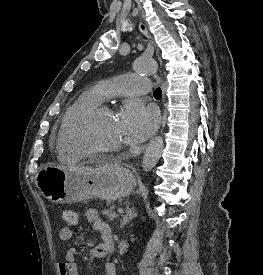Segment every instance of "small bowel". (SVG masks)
<instances>
[{
  "mask_svg": "<svg viewBox=\"0 0 263 275\" xmlns=\"http://www.w3.org/2000/svg\"><path fill=\"white\" fill-rule=\"evenodd\" d=\"M85 218L92 224L93 229L97 231L102 238V242L92 250V258L102 259L110 256L113 253V236L110 226L100 218L98 211L93 208L86 210ZM73 227L74 226L67 225L61 228L59 237L62 241H68L73 237ZM77 255V247L68 249L64 259L59 263L62 275H78ZM104 275H117V269L114 263H105Z\"/></svg>",
  "mask_w": 263,
  "mask_h": 275,
  "instance_id": "obj_1",
  "label": "small bowel"
}]
</instances>
